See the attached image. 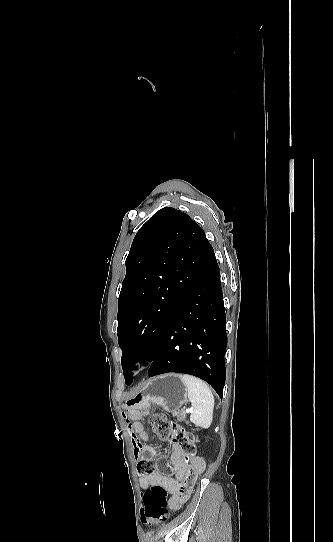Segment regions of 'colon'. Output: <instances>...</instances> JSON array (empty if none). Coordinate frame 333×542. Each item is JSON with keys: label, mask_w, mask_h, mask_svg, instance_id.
<instances>
[{"label": "colon", "mask_w": 333, "mask_h": 542, "mask_svg": "<svg viewBox=\"0 0 333 542\" xmlns=\"http://www.w3.org/2000/svg\"><path fill=\"white\" fill-rule=\"evenodd\" d=\"M151 430L162 440L175 439L188 455H194L197 446L193 437L188 433L187 428L181 427L179 422L170 420L164 413H153L149 418ZM162 471H167L168 465L164 458L157 459ZM155 461L151 458L141 460L137 465L138 473L146 476L154 473ZM192 480L188 479L181 485L178 494L184 496L191 491ZM143 506L140 511V518L149 525L165 522L169 519V493L160 486L154 485L143 495Z\"/></svg>", "instance_id": "colon-1"}]
</instances>
